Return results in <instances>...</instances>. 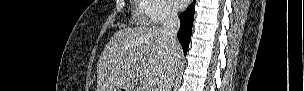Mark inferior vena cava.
Returning a JSON list of instances; mask_svg holds the SVG:
<instances>
[{
    "mask_svg": "<svg viewBox=\"0 0 304 91\" xmlns=\"http://www.w3.org/2000/svg\"><path fill=\"white\" fill-rule=\"evenodd\" d=\"M180 27V20L173 7L166 8V16L162 25V32L170 42L171 61L161 73L156 91H171V86L175 79L180 62V46L177 40V32Z\"/></svg>",
    "mask_w": 304,
    "mask_h": 91,
    "instance_id": "602c4592",
    "label": "inferior vena cava"
}]
</instances>
